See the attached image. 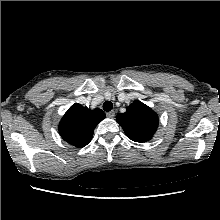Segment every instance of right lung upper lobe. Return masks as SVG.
<instances>
[{"mask_svg": "<svg viewBox=\"0 0 220 220\" xmlns=\"http://www.w3.org/2000/svg\"><path fill=\"white\" fill-rule=\"evenodd\" d=\"M104 118L105 113L101 109L90 110L75 103L63 116L59 133L66 142L81 148L91 141L95 127Z\"/></svg>", "mask_w": 220, "mask_h": 220, "instance_id": "right-lung-upper-lobe-1", "label": "right lung upper lobe"}]
</instances>
